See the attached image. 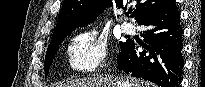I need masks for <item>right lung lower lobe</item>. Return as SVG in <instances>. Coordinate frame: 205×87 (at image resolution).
Returning <instances> with one entry per match:
<instances>
[{"mask_svg":"<svg viewBox=\"0 0 205 87\" xmlns=\"http://www.w3.org/2000/svg\"><path fill=\"white\" fill-rule=\"evenodd\" d=\"M138 24L148 27L141 36L148 44L144 48L149 53L146 50L137 53L134 41L127 40L117 58L119 69L161 87H180L184 66L183 29L175 0H168Z\"/></svg>","mask_w":205,"mask_h":87,"instance_id":"obj_1","label":"right lung lower lobe"}]
</instances>
